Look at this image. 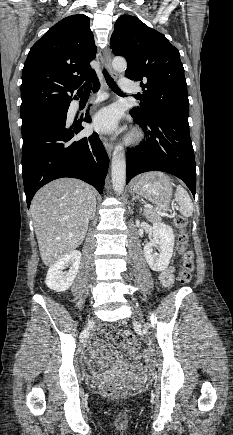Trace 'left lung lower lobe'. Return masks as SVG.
Masks as SVG:
<instances>
[{
	"label": "left lung lower lobe",
	"mask_w": 233,
	"mask_h": 435,
	"mask_svg": "<svg viewBox=\"0 0 233 435\" xmlns=\"http://www.w3.org/2000/svg\"><path fill=\"white\" fill-rule=\"evenodd\" d=\"M133 118L143 129L146 141L127 150V183L140 173L163 171L183 180L195 197L196 165L188 120Z\"/></svg>",
	"instance_id": "0a47b994"
}]
</instances>
